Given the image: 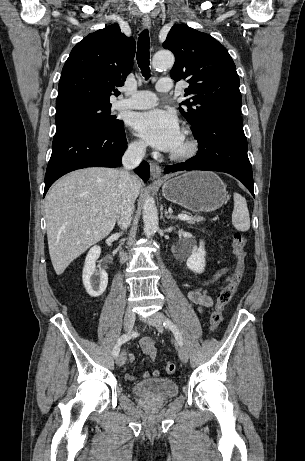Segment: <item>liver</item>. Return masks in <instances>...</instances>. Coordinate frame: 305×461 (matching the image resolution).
I'll return each mask as SVG.
<instances>
[{
	"label": "liver",
	"mask_w": 305,
	"mask_h": 461,
	"mask_svg": "<svg viewBox=\"0 0 305 461\" xmlns=\"http://www.w3.org/2000/svg\"><path fill=\"white\" fill-rule=\"evenodd\" d=\"M140 180L133 176L137 198ZM119 199V172L90 167L61 178L45 199L49 254L57 275L113 230Z\"/></svg>",
	"instance_id": "obj_1"
}]
</instances>
